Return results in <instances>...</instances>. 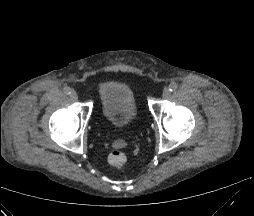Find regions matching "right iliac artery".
I'll return each instance as SVG.
<instances>
[{
	"mask_svg": "<svg viewBox=\"0 0 254 216\" xmlns=\"http://www.w3.org/2000/svg\"><path fill=\"white\" fill-rule=\"evenodd\" d=\"M71 92H72V90H71V88L70 87H65L64 88V93H66V94H71Z\"/></svg>",
	"mask_w": 254,
	"mask_h": 216,
	"instance_id": "1",
	"label": "right iliac artery"
}]
</instances>
